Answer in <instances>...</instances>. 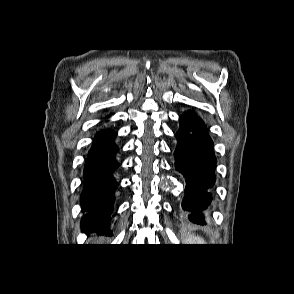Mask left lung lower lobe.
I'll list each match as a JSON object with an SVG mask.
<instances>
[{"instance_id": "left-lung-lower-lobe-1", "label": "left lung lower lobe", "mask_w": 294, "mask_h": 294, "mask_svg": "<svg viewBox=\"0 0 294 294\" xmlns=\"http://www.w3.org/2000/svg\"><path fill=\"white\" fill-rule=\"evenodd\" d=\"M179 120L175 167L186 181L182 206L190 213L188 219L191 222L204 225L202 211L212 200L210 191L216 179L213 143L203 121L194 112L184 113Z\"/></svg>"}]
</instances>
